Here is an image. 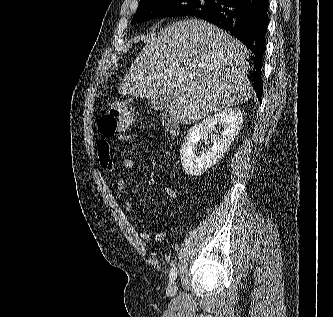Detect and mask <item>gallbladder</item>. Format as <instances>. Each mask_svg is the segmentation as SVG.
<instances>
[{
	"mask_svg": "<svg viewBox=\"0 0 333 317\" xmlns=\"http://www.w3.org/2000/svg\"><path fill=\"white\" fill-rule=\"evenodd\" d=\"M170 102L169 96H156L148 99L150 108L154 111H164L167 109Z\"/></svg>",
	"mask_w": 333,
	"mask_h": 317,
	"instance_id": "bac80fb5",
	"label": "gallbladder"
}]
</instances>
